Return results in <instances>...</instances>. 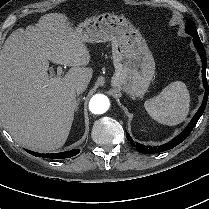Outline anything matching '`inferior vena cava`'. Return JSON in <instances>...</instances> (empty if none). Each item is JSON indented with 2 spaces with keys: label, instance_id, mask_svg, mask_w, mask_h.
<instances>
[{
  "label": "inferior vena cava",
  "instance_id": "obj_1",
  "mask_svg": "<svg viewBox=\"0 0 209 209\" xmlns=\"http://www.w3.org/2000/svg\"><path fill=\"white\" fill-rule=\"evenodd\" d=\"M87 88V83L85 82H79L76 86H75V91L77 94H80L82 92H84Z\"/></svg>",
  "mask_w": 209,
  "mask_h": 209
}]
</instances>
